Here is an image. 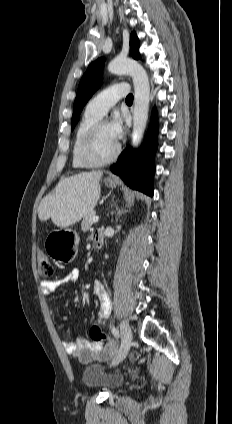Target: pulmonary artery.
I'll return each mask as SVG.
<instances>
[{
  "label": "pulmonary artery",
  "mask_w": 232,
  "mask_h": 424,
  "mask_svg": "<svg viewBox=\"0 0 232 424\" xmlns=\"http://www.w3.org/2000/svg\"><path fill=\"white\" fill-rule=\"evenodd\" d=\"M129 85L125 83L114 84L98 93L87 105V109L99 116H104L119 99L127 96Z\"/></svg>",
  "instance_id": "pulmonary-artery-1"
}]
</instances>
